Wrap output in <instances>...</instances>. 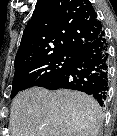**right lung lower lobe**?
Instances as JSON below:
<instances>
[{
	"instance_id": "98d812e1",
	"label": "right lung lower lobe",
	"mask_w": 117,
	"mask_h": 136,
	"mask_svg": "<svg viewBox=\"0 0 117 136\" xmlns=\"http://www.w3.org/2000/svg\"><path fill=\"white\" fill-rule=\"evenodd\" d=\"M109 67L108 43L102 29L61 71L38 86L85 92L103 106L109 89Z\"/></svg>"
}]
</instances>
